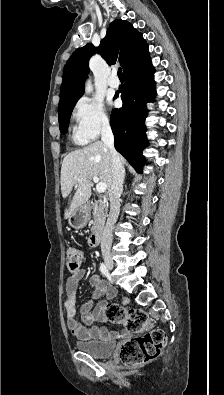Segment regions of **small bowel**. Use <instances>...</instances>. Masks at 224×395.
I'll return each mask as SVG.
<instances>
[{
    "mask_svg": "<svg viewBox=\"0 0 224 395\" xmlns=\"http://www.w3.org/2000/svg\"><path fill=\"white\" fill-rule=\"evenodd\" d=\"M85 277V270L80 269L74 272L66 282V298L64 300V310L66 314L67 327L71 334L79 340L103 339L108 337L107 331L96 322H105V309L107 300H102L104 295L111 298L115 294V288L102 280L98 275H93L89 279L91 288L90 297L80 307V318L77 316L76 300L80 289V284ZM128 300L125 298L124 302Z\"/></svg>",
    "mask_w": 224,
    "mask_h": 395,
    "instance_id": "obj_1",
    "label": "small bowel"
}]
</instances>
